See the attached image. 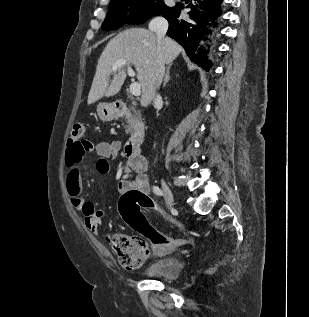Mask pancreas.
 <instances>
[{
  "instance_id": "1",
  "label": "pancreas",
  "mask_w": 309,
  "mask_h": 317,
  "mask_svg": "<svg viewBox=\"0 0 309 317\" xmlns=\"http://www.w3.org/2000/svg\"><path fill=\"white\" fill-rule=\"evenodd\" d=\"M131 109L137 115V118H135L134 121H136V122H138L140 124H143L142 119H141L140 111H136L134 107H132ZM130 130H131L130 126H127L126 133H129Z\"/></svg>"
}]
</instances>
